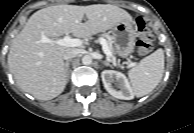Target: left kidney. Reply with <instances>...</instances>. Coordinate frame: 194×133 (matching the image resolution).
Returning <instances> with one entry per match:
<instances>
[{"instance_id": "obj_1", "label": "left kidney", "mask_w": 194, "mask_h": 133, "mask_svg": "<svg viewBox=\"0 0 194 133\" xmlns=\"http://www.w3.org/2000/svg\"><path fill=\"white\" fill-rule=\"evenodd\" d=\"M101 77L104 87L110 95L123 100L133 99V90L123 73L114 70H104L101 73ZM114 82H116L115 87L112 85Z\"/></svg>"}]
</instances>
